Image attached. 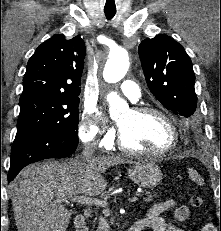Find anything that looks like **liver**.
Returning <instances> with one entry per match:
<instances>
[{"mask_svg": "<svg viewBox=\"0 0 221 231\" xmlns=\"http://www.w3.org/2000/svg\"><path fill=\"white\" fill-rule=\"evenodd\" d=\"M120 156H93L88 161H46L25 167L10 185L18 231H66L70 212L63 199L103 192L106 169L132 163Z\"/></svg>", "mask_w": 221, "mask_h": 231, "instance_id": "obj_1", "label": "liver"}]
</instances>
